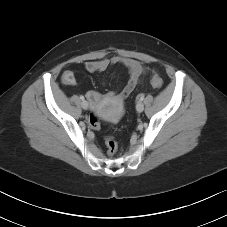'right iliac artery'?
Segmentation results:
<instances>
[{
	"mask_svg": "<svg viewBox=\"0 0 227 227\" xmlns=\"http://www.w3.org/2000/svg\"><path fill=\"white\" fill-rule=\"evenodd\" d=\"M80 99H81L82 101H84V96L81 95V96H80Z\"/></svg>",
	"mask_w": 227,
	"mask_h": 227,
	"instance_id": "82829eb1",
	"label": "right iliac artery"
}]
</instances>
